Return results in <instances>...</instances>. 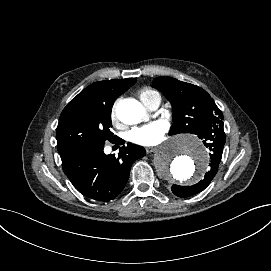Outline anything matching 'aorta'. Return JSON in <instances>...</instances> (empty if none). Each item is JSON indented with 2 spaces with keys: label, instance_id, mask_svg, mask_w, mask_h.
Masks as SVG:
<instances>
[{
  "label": "aorta",
  "instance_id": "aorta-1",
  "mask_svg": "<svg viewBox=\"0 0 271 271\" xmlns=\"http://www.w3.org/2000/svg\"><path fill=\"white\" fill-rule=\"evenodd\" d=\"M118 119L125 124H136L144 116L140 102L126 99L116 108ZM159 175L169 182L194 183L208 167V154L194 137L181 136L164 143L154 157Z\"/></svg>",
  "mask_w": 271,
  "mask_h": 271
}]
</instances>
